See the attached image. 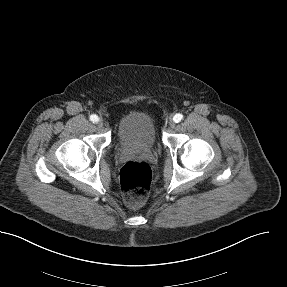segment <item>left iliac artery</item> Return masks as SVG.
I'll use <instances>...</instances> for the list:
<instances>
[{
    "mask_svg": "<svg viewBox=\"0 0 287 287\" xmlns=\"http://www.w3.org/2000/svg\"><path fill=\"white\" fill-rule=\"evenodd\" d=\"M182 119H183V115L180 114V113L176 114V115L173 117V120H174L176 123L180 122Z\"/></svg>",
    "mask_w": 287,
    "mask_h": 287,
    "instance_id": "1",
    "label": "left iliac artery"
}]
</instances>
